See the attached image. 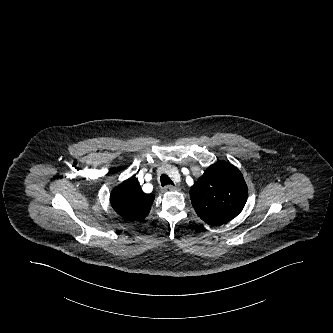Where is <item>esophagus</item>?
<instances>
[{
	"label": "esophagus",
	"instance_id": "34e87169",
	"mask_svg": "<svg viewBox=\"0 0 333 333\" xmlns=\"http://www.w3.org/2000/svg\"><path fill=\"white\" fill-rule=\"evenodd\" d=\"M179 188L177 186H173V185H167L164 187V191H178Z\"/></svg>",
	"mask_w": 333,
	"mask_h": 333
}]
</instances>
